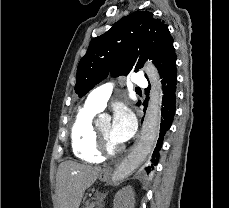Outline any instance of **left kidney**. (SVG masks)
Segmentation results:
<instances>
[{
  "label": "left kidney",
  "instance_id": "obj_1",
  "mask_svg": "<svg viewBox=\"0 0 229 208\" xmlns=\"http://www.w3.org/2000/svg\"><path fill=\"white\" fill-rule=\"evenodd\" d=\"M134 192L132 186L119 190L115 196L114 208H133Z\"/></svg>",
  "mask_w": 229,
  "mask_h": 208
}]
</instances>
